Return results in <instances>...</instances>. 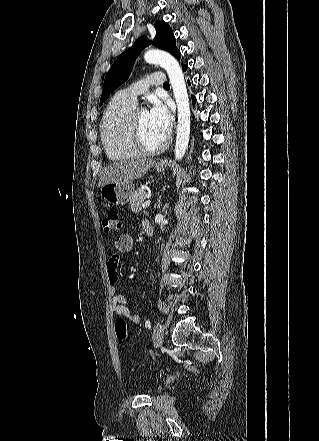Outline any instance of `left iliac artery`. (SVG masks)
<instances>
[{"instance_id": "44dca946", "label": "left iliac artery", "mask_w": 319, "mask_h": 441, "mask_svg": "<svg viewBox=\"0 0 319 441\" xmlns=\"http://www.w3.org/2000/svg\"><path fill=\"white\" fill-rule=\"evenodd\" d=\"M145 326H146V328H148V329L151 328V323H150L149 320H146V322H145Z\"/></svg>"}]
</instances>
